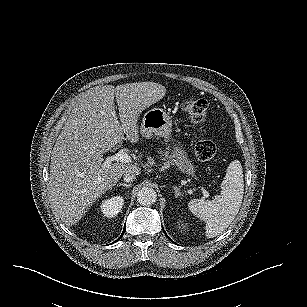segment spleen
Segmentation results:
<instances>
[{"mask_svg":"<svg viewBox=\"0 0 307 307\" xmlns=\"http://www.w3.org/2000/svg\"><path fill=\"white\" fill-rule=\"evenodd\" d=\"M244 194V176L240 161L228 165L221 183V195L213 200L193 199L189 208L193 214L205 219L206 236L213 238L224 232L237 216Z\"/></svg>","mask_w":307,"mask_h":307,"instance_id":"obj_1","label":"spleen"}]
</instances>
